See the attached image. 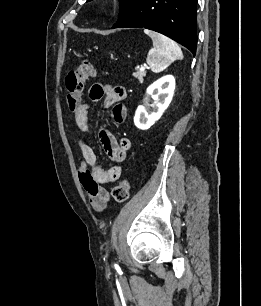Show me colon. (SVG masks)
<instances>
[{
  "mask_svg": "<svg viewBox=\"0 0 261 306\" xmlns=\"http://www.w3.org/2000/svg\"><path fill=\"white\" fill-rule=\"evenodd\" d=\"M95 76V69L91 62L84 60L77 69L68 72L65 78L67 90L66 102L71 111H75L81 104V95L87 80ZM130 195L128 180L120 181L112 190V197L116 202H125Z\"/></svg>",
  "mask_w": 261,
  "mask_h": 306,
  "instance_id": "obj_1",
  "label": "colon"
}]
</instances>
